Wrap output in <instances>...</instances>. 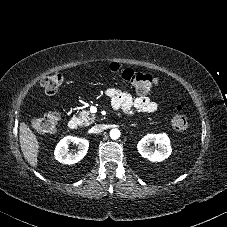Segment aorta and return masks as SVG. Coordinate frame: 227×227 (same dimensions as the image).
Segmentation results:
<instances>
[{
  "mask_svg": "<svg viewBox=\"0 0 227 227\" xmlns=\"http://www.w3.org/2000/svg\"><path fill=\"white\" fill-rule=\"evenodd\" d=\"M110 137L114 140L118 139L120 137V131L118 129H112L110 131Z\"/></svg>",
  "mask_w": 227,
  "mask_h": 227,
  "instance_id": "762f6f07",
  "label": "aorta"
}]
</instances>
